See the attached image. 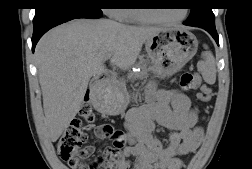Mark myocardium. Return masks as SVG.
Listing matches in <instances>:
<instances>
[{
    "instance_id": "1",
    "label": "myocardium",
    "mask_w": 252,
    "mask_h": 169,
    "mask_svg": "<svg viewBox=\"0 0 252 169\" xmlns=\"http://www.w3.org/2000/svg\"><path fill=\"white\" fill-rule=\"evenodd\" d=\"M137 17L145 23H157V24H167V23H179L183 21L187 16V10H183L182 14L175 19H162L151 17L146 11L141 9H135Z\"/></svg>"
}]
</instances>
